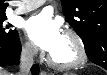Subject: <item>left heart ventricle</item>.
Returning <instances> with one entry per match:
<instances>
[{"label":"left heart ventricle","mask_w":107,"mask_h":75,"mask_svg":"<svg viewBox=\"0 0 107 75\" xmlns=\"http://www.w3.org/2000/svg\"><path fill=\"white\" fill-rule=\"evenodd\" d=\"M51 55L57 62L67 63L76 58L77 52L73 41L63 34L58 47L51 53Z\"/></svg>","instance_id":"1"}]
</instances>
